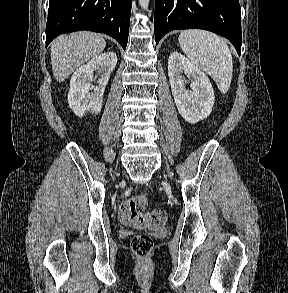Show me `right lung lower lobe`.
Here are the masks:
<instances>
[{
    "label": "right lung lower lobe",
    "mask_w": 288,
    "mask_h": 293,
    "mask_svg": "<svg viewBox=\"0 0 288 293\" xmlns=\"http://www.w3.org/2000/svg\"><path fill=\"white\" fill-rule=\"evenodd\" d=\"M131 6L132 0H50L46 46L60 34L89 30L113 37L125 49Z\"/></svg>",
    "instance_id": "right-lung-lower-lobe-1"
}]
</instances>
